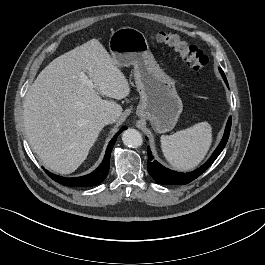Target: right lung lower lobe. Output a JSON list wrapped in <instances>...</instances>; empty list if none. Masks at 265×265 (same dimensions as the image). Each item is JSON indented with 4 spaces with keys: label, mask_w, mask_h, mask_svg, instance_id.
<instances>
[{
    "label": "right lung lower lobe",
    "mask_w": 265,
    "mask_h": 265,
    "mask_svg": "<svg viewBox=\"0 0 265 265\" xmlns=\"http://www.w3.org/2000/svg\"><path fill=\"white\" fill-rule=\"evenodd\" d=\"M127 127H122L119 132L114 136V138L110 141L105 157L100 164V166L92 173L76 178H66L62 176L55 175L47 170L45 172L49 177H51L56 182L65 185V186H73V187H90L100 184L102 181L105 180L108 172H109V165H110V155L113 149V146L116 142V137Z\"/></svg>",
    "instance_id": "98d812e1"
}]
</instances>
